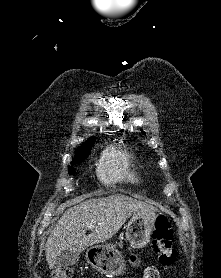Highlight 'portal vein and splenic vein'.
Listing matches in <instances>:
<instances>
[{
    "mask_svg": "<svg viewBox=\"0 0 221 278\" xmlns=\"http://www.w3.org/2000/svg\"><path fill=\"white\" fill-rule=\"evenodd\" d=\"M93 227H94V226H93L92 224L88 226L89 229H91V228H93Z\"/></svg>",
    "mask_w": 221,
    "mask_h": 278,
    "instance_id": "portal-vein-and-splenic-vein-1",
    "label": "portal vein and splenic vein"
}]
</instances>
